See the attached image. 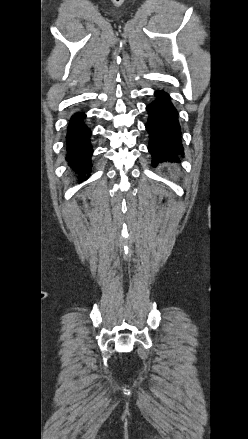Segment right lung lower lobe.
Here are the masks:
<instances>
[{"mask_svg": "<svg viewBox=\"0 0 248 439\" xmlns=\"http://www.w3.org/2000/svg\"><path fill=\"white\" fill-rule=\"evenodd\" d=\"M85 112H76L72 115L66 135L67 161L72 169L79 173L80 182L91 170L92 146L90 142L91 130L85 124Z\"/></svg>", "mask_w": 248, "mask_h": 439, "instance_id": "obj_1", "label": "right lung lower lobe"}]
</instances>
